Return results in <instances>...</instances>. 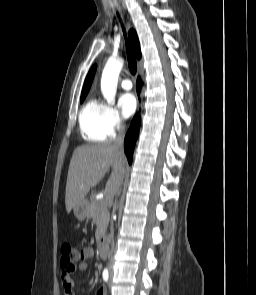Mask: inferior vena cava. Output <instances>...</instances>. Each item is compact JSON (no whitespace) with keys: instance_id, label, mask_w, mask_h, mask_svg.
<instances>
[{"instance_id":"602c4592","label":"inferior vena cava","mask_w":256,"mask_h":295,"mask_svg":"<svg viewBox=\"0 0 256 295\" xmlns=\"http://www.w3.org/2000/svg\"><path fill=\"white\" fill-rule=\"evenodd\" d=\"M117 137L115 139L114 145L116 148L122 150L123 149V142H124V136H125V126L120 124L117 127ZM119 194V188L116 190L115 195ZM111 250L109 252V258L112 259V253H113V248H114V230L113 227L111 228Z\"/></svg>"}]
</instances>
